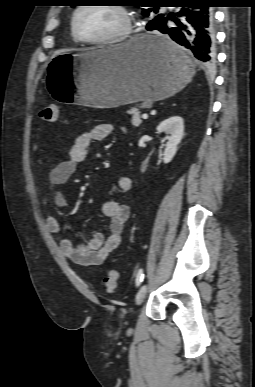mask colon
Segmentation results:
<instances>
[{
	"instance_id": "colon-1",
	"label": "colon",
	"mask_w": 255,
	"mask_h": 387,
	"mask_svg": "<svg viewBox=\"0 0 255 387\" xmlns=\"http://www.w3.org/2000/svg\"><path fill=\"white\" fill-rule=\"evenodd\" d=\"M59 116L58 107L56 105L45 106L40 111V118L46 122H56ZM119 279L117 269H110L103 279L104 289L107 293H114Z\"/></svg>"
}]
</instances>
